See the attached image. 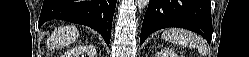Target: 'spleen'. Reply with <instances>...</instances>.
<instances>
[{
  "mask_svg": "<svg viewBox=\"0 0 249 57\" xmlns=\"http://www.w3.org/2000/svg\"><path fill=\"white\" fill-rule=\"evenodd\" d=\"M162 38L170 43L197 48L202 53H206L204 41L190 31L179 28H170L164 30Z\"/></svg>",
  "mask_w": 249,
  "mask_h": 57,
  "instance_id": "1",
  "label": "spleen"
}]
</instances>
